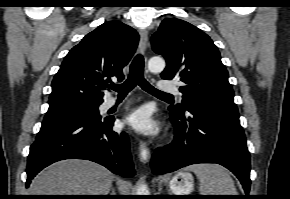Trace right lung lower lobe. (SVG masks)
Returning <instances> with one entry per match:
<instances>
[{
    "mask_svg": "<svg viewBox=\"0 0 290 199\" xmlns=\"http://www.w3.org/2000/svg\"><path fill=\"white\" fill-rule=\"evenodd\" d=\"M113 117L43 122L27 159L28 187L46 166L77 158L99 163L123 177L135 175L128 135L114 132Z\"/></svg>",
    "mask_w": 290,
    "mask_h": 199,
    "instance_id": "98d812e1",
    "label": "right lung lower lobe"
}]
</instances>
